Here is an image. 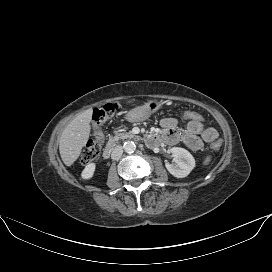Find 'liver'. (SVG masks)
Segmentation results:
<instances>
[{"label": "liver", "mask_w": 272, "mask_h": 272, "mask_svg": "<svg viewBox=\"0 0 272 272\" xmlns=\"http://www.w3.org/2000/svg\"><path fill=\"white\" fill-rule=\"evenodd\" d=\"M91 110L76 116L63 130L59 141V152L66 166H71L79 157L89 139Z\"/></svg>", "instance_id": "6515ba94"}]
</instances>
